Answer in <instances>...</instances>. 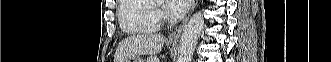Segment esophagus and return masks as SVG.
Instances as JSON below:
<instances>
[{"instance_id": "34e87169", "label": "esophagus", "mask_w": 331, "mask_h": 62, "mask_svg": "<svg viewBox=\"0 0 331 62\" xmlns=\"http://www.w3.org/2000/svg\"><path fill=\"white\" fill-rule=\"evenodd\" d=\"M198 0H193L192 1V6H191V10L190 13L188 14V16L185 18V20L182 22V24L175 30L173 31L169 36H168V41L170 42H177L188 22V19L190 17V15L192 14L194 8L197 5Z\"/></svg>"}]
</instances>
